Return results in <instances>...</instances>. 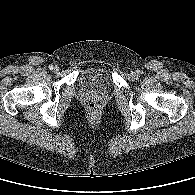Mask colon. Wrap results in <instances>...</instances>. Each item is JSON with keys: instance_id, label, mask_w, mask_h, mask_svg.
<instances>
[{"instance_id": "1", "label": "colon", "mask_w": 195, "mask_h": 195, "mask_svg": "<svg viewBox=\"0 0 195 195\" xmlns=\"http://www.w3.org/2000/svg\"><path fill=\"white\" fill-rule=\"evenodd\" d=\"M88 110H89L91 113H93V114L97 113V112H98V106H97V104L94 103V102L89 103V105H88Z\"/></svg>"}]
</instances>
